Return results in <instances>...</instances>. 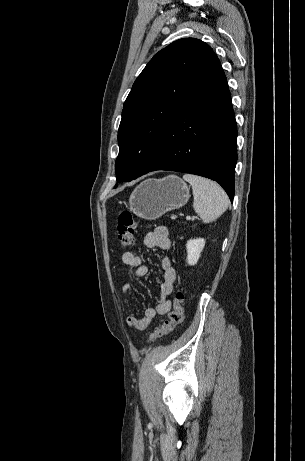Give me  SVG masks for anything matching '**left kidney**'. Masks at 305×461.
Here are the masks:
<instances>
[{"instance_id": "1", "label": "left kidney", "mask_w": 305, "mask_h": 461, "mask_svg": "<svg viewBox=\"0 0 305 461\" xmlns=\"http://www.w3.org/2000/svg\"><path fill=\"white\" fill-rule=\"evenodd\" d=\"M204 246L205 240L203 238L190 239L187 242V262L189 265L197 264Z\"/></svg>"}]
</instances>
